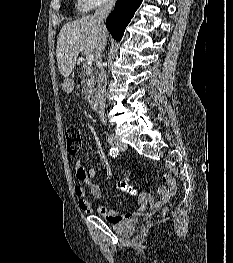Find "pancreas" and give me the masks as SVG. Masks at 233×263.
Returning a JSON list of instances; mask_svg holds the SVG:
<instances>
[{
	"instance_id": "obj_1",
	"label": "pancreas",
	"mask_w": 233,
	"mask_h": 263,
	"mask_svg": "<svg viewBox=\"0 0 233 263\" xmlns=\"http://www.w3.org/2000/svg\"><path fill=\"white\" fill-rule=\"evenodd\" d=\"M81 77L82 94L86 99L93 100L96 94V72L94 67L84 62L81 67Z\"/></svg>"
}]
</instances>
